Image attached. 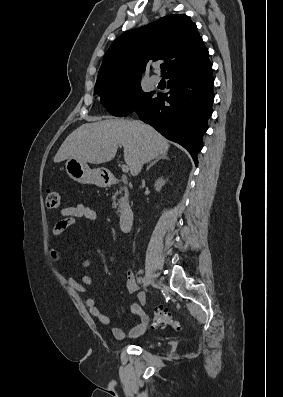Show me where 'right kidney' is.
<instances>
[{
    "label": "right kidney",
    "instance_id": "obj_1",
    "mask_svg": "<svg viewBox=\"0 0 283 397\" xmlns=\"http://www.w3.org/2000/svg\"><path fill=\"white\" fill-rule=\"evenodd\" d=\"M165 181L163 178H158L155 182V189L157 192H160L162 189V186L164 185Z\"/></svg>",
    "mask_w": 283,
    "mask_h": 397
}]
</instances>
